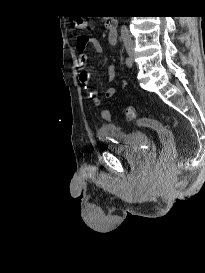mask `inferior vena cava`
I'll use <instances>...</instances> for the list:
<instances>
[{
  "label": "inferior vena cava",
  "mask_w": 205,
  "mask_h": 273,
  "mask_svg": "<svg viewBox=\"0 0 205 273\" xmlns=\"http://www.w3.org/2000/svg\"><path fill=\"white\" fill-rule=\"evenodd\" d=\"M121 38L123 40L125 47H132L133 46L131 35L129 34V31L126 28V26L121 27Z\"/></svg>",
  "instance_id": "602c4592"
}]
</instances>
